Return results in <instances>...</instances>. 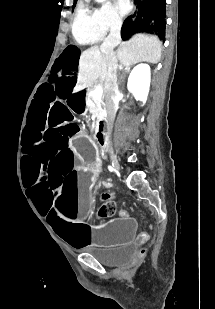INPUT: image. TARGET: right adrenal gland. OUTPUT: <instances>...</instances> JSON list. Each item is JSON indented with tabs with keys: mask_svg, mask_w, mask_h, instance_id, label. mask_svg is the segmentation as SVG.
<instances>
[{
	"mask_svg": "<svg viewBox=\"0 0 215 309\" xmlns=\"http://www.w3.org/2000/svg\"><path fill=\"white\" fill-rule=\"evenodd\" d=\"M118 68L119 70H124V72H129L131 66H126V68H124L123 64H119Z\"/></svg>",
	"mask_w": 215,
	"mask_h": 309,
	"instance_id": "2a0ac1e0",
	"label": "right adrenal gland"
}]
</instances>
